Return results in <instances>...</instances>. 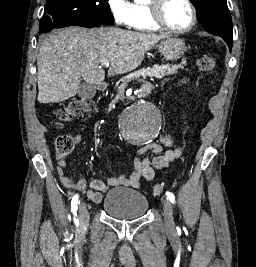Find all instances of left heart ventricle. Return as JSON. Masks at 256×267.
<instances>
[{"label":"left heart ventricle","instance_id":"b2bd125f","mask_svg":"<svg viewBox=\"0 0 256 267\" xmlns=\"http://www.w3.org/2000/svg\"><path fill=\"white\" fill-rule=\"evenodd\" d=\"M162 18L164 21L175 29H184L191 23V12L189 7L180 0H169L164 3ZM144 28L140 31H148L152 25L143 22Z\"/></svg>","mask_w":256,"mask_h":267}]
</instances>
